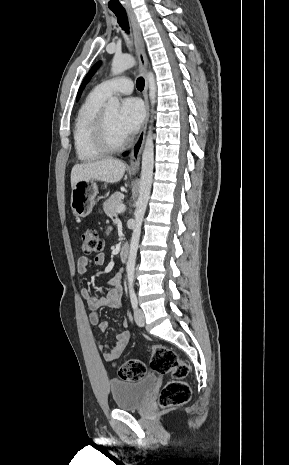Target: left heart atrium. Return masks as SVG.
Listing matches in <instances>:
<instances>
[{"instance_id":"1","label":"left heart atrium","mask_w":289,"mask_h":465,"mask_svg":"<svg viewBox=\"0 0 289 465\" xmlns=\"http://www.w3.org/2000/svg\"><path fill=\"white\" fill-rule=\"evenodd\" d=\"M144 107L137 98H127L122 102L118 113V127L127 138L135 134L144 119Z\"/></svg>"}]
</instances>
